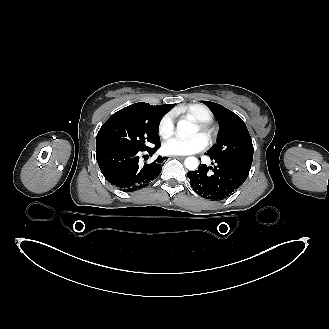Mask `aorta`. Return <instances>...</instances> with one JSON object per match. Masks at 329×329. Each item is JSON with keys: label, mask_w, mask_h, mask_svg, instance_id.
Segmentation results:
<instances>
[{"label": "aorta", "mask_w": 329, "mask_h": 329, "mask_svg": "<svg viewBox=\"0 0 329 329\" xmlns=\"http://www.w3.org/2000/svg\"><path fill=\"white\" fill-rule=\"evenodd\" d=\"M197 130V126L188 120H180L177 123V134L179 136L185 137L187 135L196 133ZM184 164L188 170L194 171L198 168L199 162L196 157H187L184 161Z\"/></svg>", "instance_id": "1"}]
</instances>
